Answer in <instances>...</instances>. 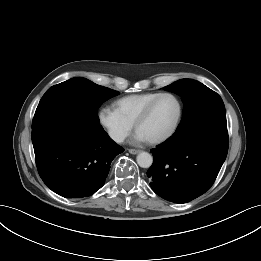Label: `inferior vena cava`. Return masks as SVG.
<instances>
[{"label": "inferior vena cava", "mask_w": 261, "mask_h": 261, "mask_svg": "<svg viewBox=\"0 0 261 261\" xmlns=\"http://www.w3.org/2000/svg\"><path fill=\"white\" fill-rule=\"evenodd\" d=\"M110 136L117 143H121L125 139V136L122 134L111 133Z\"/></svg>", "instance_id": "obj_1"}]
</instances>
